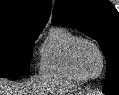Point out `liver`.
<instances>
[{
  "instance_id": "6515ba94",
  "label": "liver",
  "mask_w": 119,
  "mask_h": 95,
  "mask_svg": "<svg viewBox=\"0 0 119 95\" xmlns=\"http://www.w3.org/2000/svg\"><path fill=\"white\" fill-rule=\"evenodd\" d=\"M75 90L71 84L57 82L49 84L44 77L37 76L23 83H16L0 78V95H69Z\"/></svg>"
}]
</instances>
